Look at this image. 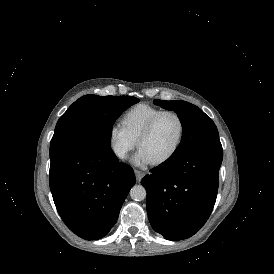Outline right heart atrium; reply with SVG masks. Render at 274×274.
<instances>
[{
    "label": "right heart atrium",
    "instance_id": "1",
    "mask_svg": "<svg viewBox=\"0 0 274 274\" xmlns=\"http://www.w3.org/2000/svg\"><path fill=\"white\" fill-rule=\"evenodd\" d=\"M107 139L111 151L121 160L126 159L129 152L135 147V140L118 124L110 125Z\"/></svg>",
    "mask_w": 274,
    "mask_h": 274
}]
</instances>
